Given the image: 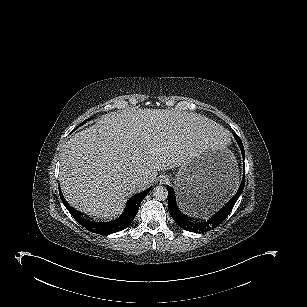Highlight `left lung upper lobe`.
<instances>
[{"instance_id": "left-lung-upper-lobe-1", "label": "left lung upper lobe", "mask_w": 307, "mask_h": 307, "mask_svg": "<svg viewBox=\"0 0 307 307\" xmlns=\"http://www.w3.org/2000/svg\"><path fill=\"white\" fill-rule=\"evenodd\" d=\"M236 139H240L238 136H236Z\"/></svg>"}]
</instances>
